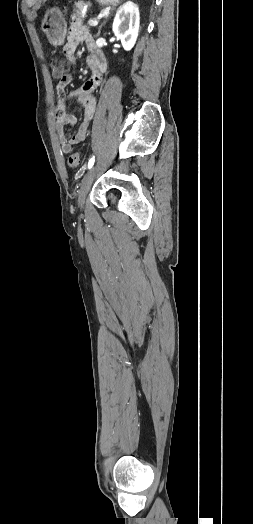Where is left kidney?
Instances as JSON below:
<instances>
[{"label":"left kidney","instance_id":"left-kidney-1","mask_svg":"<svg viewBox=\"0 0 253 524\" xmlns=\"http://www.w3.org/2000/svg\"><path fill=\"white\" fill-rule=\"evenodd\" d=\"M140 26L139 9L131 1L126 2L117 10L113 21V33L121 40L126 51L136 43Z\"/></svg>","mask_w":253,"mask_h":524}]
</instances>
